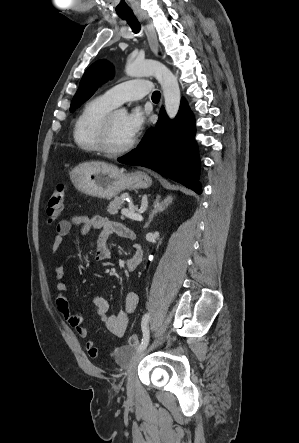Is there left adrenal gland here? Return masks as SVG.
<instances>
[{"mask_svg": "<svg viewBox=\"0 0 299 443\" xmlns=\"http://www.w3.org/2000/svg\"><path fill=\"white\" fill-rule=\"evenodd\" d=\"M172 202V197L168 196L163 201H160V198L157 197L153 204V210L151 211V214L149 216L148 222L145 224V228H148L150 223L152 222L153 218L158 214L163 212L168 205Z\"/></svg>", "mask_w": 299, "mask_h": 443, "instance_id": "1", "label": "left adrenal gland"}]
</instances>
